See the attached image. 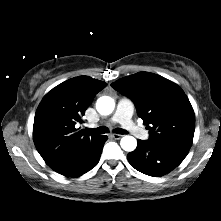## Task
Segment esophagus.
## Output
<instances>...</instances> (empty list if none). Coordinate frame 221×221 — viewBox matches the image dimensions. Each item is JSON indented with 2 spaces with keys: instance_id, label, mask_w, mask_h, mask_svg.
<instances>
[{
  "instance_id": "1",
  "label": "esophagus",
  "mask_w": 221,
  "mask_h": 221,
  "mask_svg": "<svg viewBox=\"0 0 221 221\" xmlns=\"http://www.w3.org/2000/svg\"><path fill=\"white\" fill-rule=\"evenodd\" d=\"M123 135H120V134H111V137L118 140L120 138H122Z\"/></svg>"
}]
</instances>
